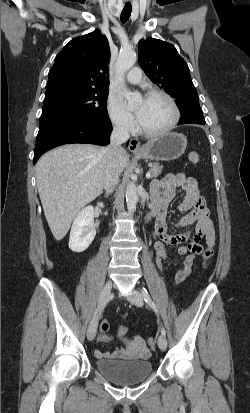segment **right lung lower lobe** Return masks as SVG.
Returning a JSON list of instances; mask_svg holds the SVG:
<instances>
[{
    "label": "right lung lower lobe",
    "mask_w": 250,
    "mask_h": 413,
    "mask_svg": "<svg viewBox=\"0 0 250 413\" xmlns=\"http://www.w3.org/2000/svg\"><path fill=\"white\" fill-rule=\"evenodd\" d=\"M112 132L108 117H63L39 128L34 150V164L46 151L68 143L106 145Z\"/></svg>",
    "instance_id": "98d812e1"
}]
</instances>
